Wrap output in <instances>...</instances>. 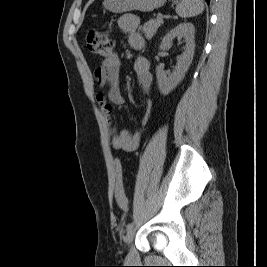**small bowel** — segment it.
Wrapping results in <instances>:
<instances>
[{"label":"small bowel","instance_id":"c3829d8e","mask_svg":"<svg viewBox=\"0 0 267 267\" xmlns=\"http://www.w3.org/2000/svg\"><path fill=\"white\" fill-rule=\"evenodd\" d=\"M139 24V17L132 14L122 15L118 19L119 28L128 34V43L134 50H141L144 47V39L138 31ZM120 63L119 56L114 54L110 59L102 61L101 65L96 68L94 72L95 81L101 88L108 87L107 95L99 93L96 95V100L113 134L112 147L115 150L133 152L139 146L141 132L133 133L129 129L117 131V128L112 124L111 114L113 106L124 103V97L120 88ZM133 67L142 92L144 95H148L152 85V74L148 59L144 56H137L134 60ZM150 111L151 101L147 100L146 111L142 119L143 125L147 123Z\"/></svg>","mask_w":267,"mask_h":267}]
</instances>
